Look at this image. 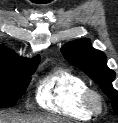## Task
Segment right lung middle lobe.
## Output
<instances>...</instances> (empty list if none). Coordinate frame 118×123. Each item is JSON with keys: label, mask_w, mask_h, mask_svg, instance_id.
I'll use <instances>...</instances> for the list:
<instances>
[{"label": "right lung middle lobe", "mask_w": 118, "mask_h": 123, "mask_svg": "<svg viewBox=\"0 0 118 123\" xmlns=\"http://www.w3.org/2000/svg\"><path fill=\"white\" fill-rule=\"evenodd\" d=\"M35 70L0 62V106L13 104L25 94Z\"/></svg>", "instance_id": "obj_1"}]
</instances>
